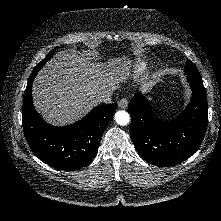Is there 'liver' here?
Instances as JSON below:
<instances>
[{
    "label": "liver",
    "instance_id": "liver-1",
    "mask_svg": "<svg viewBox=\"0 0 221 221\" xmlns=\"http://www.w3.org/2000/svg\"><path fill=\"white\" fill-rule=\"evenodd\" d=\"M132 72V60L125 56L103 65L74 50L59 51L34 79L35 108L52 125L74 123L97 105L100 93L118 89Z\"/></svg>",
    "mask_w": 221,
    "mask_h": 221
}]
</instances>
